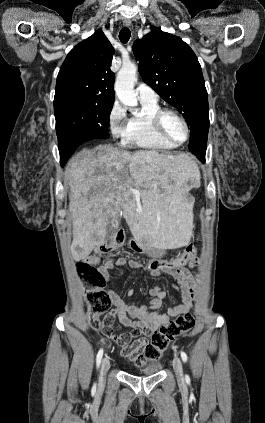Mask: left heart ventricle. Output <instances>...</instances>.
<instances>
[{
    "instance_id": "1",
    "label": "left heart ventricle",
    "mask_w": 265,
    "mask_h": 423,
    "mask_svg": "<svg viewBox=\"0 0 265 423\" xmlns=\"http://www.w3.org/2000/svg\"><path fill=\"white\" fill-rule=\"evenodd\" d=\"M164 128L167 134L175 141H182L185 138V128L181 121L173 115L164 118Z\"/></svg>"
}]
</instances>
